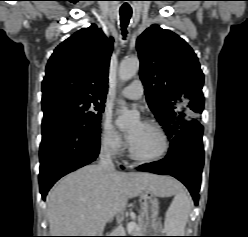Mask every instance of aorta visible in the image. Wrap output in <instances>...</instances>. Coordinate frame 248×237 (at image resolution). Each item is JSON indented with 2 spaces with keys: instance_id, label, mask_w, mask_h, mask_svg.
<instances>
[{
  "instance_id": "aorta-1",
  "label": "aorta",
  "mask_w": 248,
  "mask_h": 237,
  "mask_svg": "<svg viewBox=\"0 0 248 237\" xmlns=\"http://www.w3.org/2000/svg\"><path fill=\"white\" fill-rule=\"evenodd\" d=\"M139 70V59L138 57H131L123 60L119 68V78L122 81H128ZM121 107V114L118 117L116 123L120 128H125L139 119V113L137 111L129 110L126 107L124 101L119 102Z\"/></svg>"
}]
</instances>
